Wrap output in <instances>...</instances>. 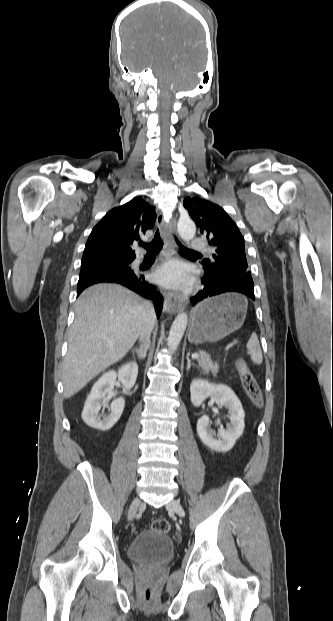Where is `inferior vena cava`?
I'll list each match as a JSON object with an SVG mask.
<instances>
[{
  "label": "inferior vena cava",
  "mask_w": 333,
  "mask_h": 621,
  "mask_svg": "<svg viewBox=\"0 0 333 621\" xmlns=\"http://www.w3.org/2000/svg\"><path fill=\"white\" fill-rule=\"evenodd\" d=\"M147 305H148V307H150V309L152 310V312H154L152 305H151L150 303H147ZM152 328H153V325H151V326H149V327H147V328H144V329L140 332V334H139V340H140L141 342H144V343L149 342V339H150V334H151Z\"/></svg>",
  "instance_id": "602c4592"
}]
</instances>
